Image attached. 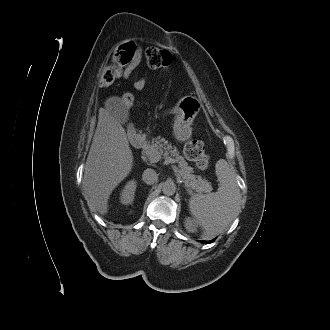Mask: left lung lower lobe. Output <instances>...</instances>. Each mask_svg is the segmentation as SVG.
I'll use <instances>...</instances> for the list:
<instances>
[{"mask_svg": "<svg viewBox=\"0 0 330 330\" xmlns=\"http://www.w3.org/2000/svg\"><path fill=\"white\" fill-rule=\"evenodd\" d=\"M214 240H215V239H213V240H211V241H201V242L209 244V243H212Z\"/></svg>", "mask_w": 330, "mask_h": 330, "instance_id": "left-lung-lower-lobe-1", "label": "left lung lower lobe"}]
</instances>
